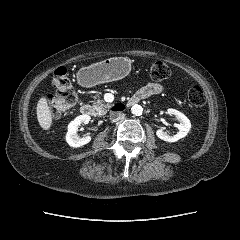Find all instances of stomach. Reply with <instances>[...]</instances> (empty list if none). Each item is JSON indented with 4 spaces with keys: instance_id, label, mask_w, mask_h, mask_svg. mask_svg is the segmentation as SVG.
Returning a JSON list of instances; mask_svg holds the SVG:
<instances>
[{
    "instance_id": "1",
    "label": "stomach",
    "mask_w": 240,
    "mask_h": 240,
    "mask_svg": "<svg viewBox=\"0 0 240 240\" xmlns=\"http://www.w3.org/2000/svg\"><path fill=\"white\" fill-rule=\"evenodd\" d=\"M129 71L130 64L127 60L123 58H108L81 68L78 72V77L84 85L95 86L122 79Z\"/></svg>"
}]
</instances>
